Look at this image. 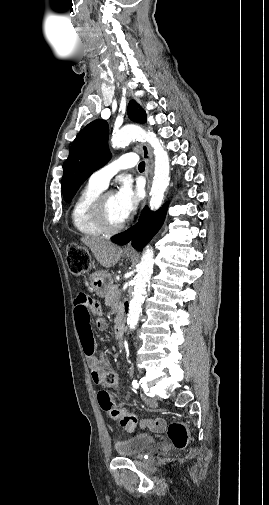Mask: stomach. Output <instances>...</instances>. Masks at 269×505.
I'll use <instances>...</instances> for the list:
<instances>
[{"label":"stomach","mask_w":269,"mask_h":505,"mask_svg":"<svg viewBox=\"0 0 269 505\" xmlns=\"http://www.w3.org/2000/svg\"><path fill=\"white\" fill-rule=\"evenodd\" d=\"M127 257H131L127 255ZM113 284L111 274L106 270L95 271L90 275V286L93 291L100 297L106 295L107 291Z\"/></svg>","instance_id":"1"}]
</instances>
